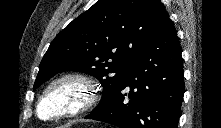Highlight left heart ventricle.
I'll list each match as a JSON object with an SVG mask.
<instances>
[{"label": "left heart ventricle", "instance_id": "left-heart-ventricle-1", "mask_svg": "<svg viewBox=\"0 0 221 128\" xmlns=\"http://www.w3.org/2000/svg\"><path fill=\"white\" fill-rule=\"evenodd\" d=\"M71 98H72V95L68 89H66V88L61 89L56 94L52 103L49 106H46L44 108V110H43L44 114L49 113L52 109H54L56 107L66 105L68 102H70Z\"/></svg>", "mask_w": 221, "mask_h": 128}]
</instances>
